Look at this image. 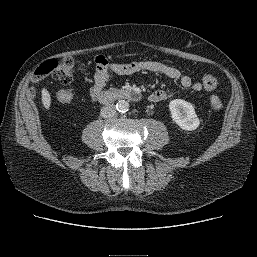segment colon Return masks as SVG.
<instances>
[{
	"label": "colon",
	"instance_id": "obj_1",
	"mask_svg": "<svg viewBox=\"0 0 257 257\" xmlns=\"http://www.w3.org/2000/svg\"><path fill=\"white\" fill-rule=\"evenodd\" d=\"M75 70V60L72 57H65L61 60H47L42 63L35 72L36 80L39 81L46 76H52L54 79L63 84L72 81ZM202 84L207 90H214L217 87V79L210 74L204 75ZM74 99V93L70 90H62L58 94V101L62 104H69ZM212 109L219 110L222 108V100L218 95H212L209 99Z\"/></svg>",
	"mask_w": 257,
	"mask_h": 257
}]
</instances>
